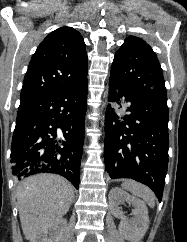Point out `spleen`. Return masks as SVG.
Here are the masks:
<instances>
[{
    "instance_id": "spleen-1",
    "label": "spleen",
    "mask_w": 187,
    "mask_h": 242,
    "mask_svg": "<svg viewBox=\"0 0 187 242\" xmlns=\"http://www.w3.org/2000/svg\"><path fill=\"white\" fill-rule=\"evenodd\" d=\"M121 187L124 190L132 193L134 196L143 199L150 207H154L155 196L153 192L145 185H142L132 180H126L122 183Z\"/></svg>"
}]
</instances>
